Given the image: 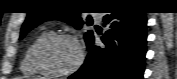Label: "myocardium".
<instances>
[{"instance_id":"obj_1","label":"myocardium","mask_w":177,"mask_h":79,"mask_svg":"<svg viewBox=\"0 0 177 79\" xmlns=\"http://www.w3.org/2000/svg\"><path fill=\"white\" fill-rule=\"evenodd\" d=\"M53 40H68L73 42L76 45L78 49V59L71 68L64 71H53L42 63L40 58L41 49L46 44H48ZM32 60L35 67L43 74L51 75V76H68L75 73L82 67L85 60V54H84V49L81 43L79 42V40L77 39V37L71 34L55 33V34H48L36 44V46L33 49Z\"/></svg>"}]
</instances>
